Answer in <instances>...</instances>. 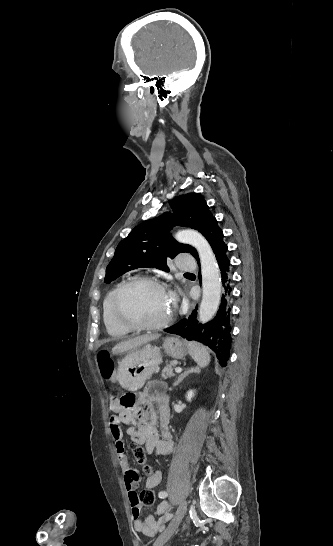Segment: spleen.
Wrapping results in <instances>:
<instances>
[{"label": "spleen", "mask_w": 333, "mask_h": 546, "mask_svg": "<svg viewBox=\"0 0 333 546\" xmlns=\"http://www.w3.org/2000/svg\"><path fill=\"white\" fill-rule=\"evenodd\" d=\"M189 353L200 368L206 367L210 362V355L207 347L198 342H189Z\"/></svg>", "instance_id": "spleen-1"}]
</instances>
